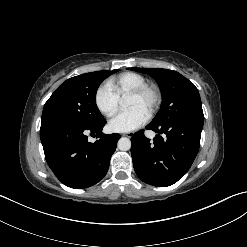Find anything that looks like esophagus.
<instances>
[{
  "label": "esophagus",
  "mask_w": 247,
  "mask_h": 247,
  "mask_svg": "<svg viewBox=\"0 0 247 247\" xmlns=\"http://www.w3.org/2000/svg\"><path fill=\"white\" fill-rule=\"evenodd\" d=\"M123 136H126V137H131L132 134L131 133H126V134H123Z\"/></svg>",
  "instance_id": "34e87169"
}]
</instances>
